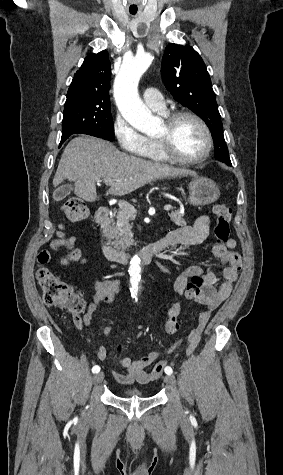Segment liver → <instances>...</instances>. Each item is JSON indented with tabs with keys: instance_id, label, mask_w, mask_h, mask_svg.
<instances>
[{
	"instance_id": "1",
	"label": "liver",
	"mask_w": 283,
	"mask_h": 475,
	"mask_svg": "<svg viewBox=\"0 0 283 475\" xmlns=\"http://www.w3.org/2000/svg\"><path fill=\"white\" fill-rule=\"evenodd\" d=\"M178 176H196V172L147 162L119 152L116 146L106 140L80 136L66 146L53 178V186L57 188L64 180L75 182L74 194L78 198L85 202H96V182L101 178L116 180L109 194L125 196L153 180Z\"/></svg>"
}]
</instances>
